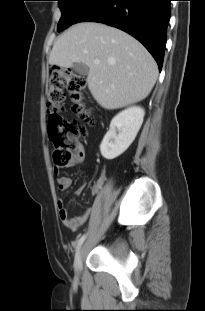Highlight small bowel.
Here are the masks:
<instances>
[{"mask_svg":"<svg viewBox=\"0 0 205 311\" xmlns=\"http://www.w3.org/2000/svg\"><path fill=\"white\" fill-rule=\"evenodd\" d=\"M86 160V151L82 145H80L73 153V157L70 162L66 165L67 168H75L80 167ZM55 173L59 174V170L55 169ZM104 182V176L102 175L97 183L92 188V194L97 195L101 185ZM58 188L61 192L67 191L71 184L72 180L67 176H60L57 179ZM83 187L78 189V193L82 191ZM58 209H59V217L63 223V225L72 230H78L90 217L92 213V208H86L82 214L78 216H71L66 206V202L63 199L58 200Z\"/></svg>","mask_w":205,"mask_h":311,"instance_id":"c3829d8e","label":"small bowel"}]
</instances>
